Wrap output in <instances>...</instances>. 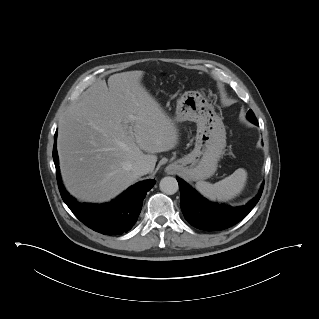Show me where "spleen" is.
I'll return each instance as SVG.
<instances>
[{"mask_svg":"<svg viewBox=\"0 0 319 319\" xmlns=\"http://www.w3.org/2000/svg\"><path fill=\"white\" fill-rule=\"evenodd\" d=\"M246 180V170L239 168L230 176L214 184L205 181H199L196 183V189L204 197L212 201H228L241 193L245 187Z\"/></svg>","mask_w":319,"mask_h":319,"instance_id":"obj_1","label":"spleen"}]
</instances>
